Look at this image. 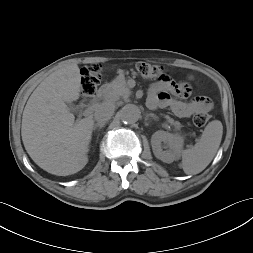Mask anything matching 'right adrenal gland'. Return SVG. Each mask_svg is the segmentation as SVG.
Segmentation results:
<instances>
[{
	"mask_svg": "<svg viewBox=\"0 0 253 253\" xmlns=\"http://www.w3.org/2000/svg\"><path fill=\"white\" fill-rule=\"evenodd\" d=\"M104 125H105V123H103V124H98L97 123V124L94 125L93 130L95 131L97 128L101 129V128L104 127Z\"/></svg>",
	"mask_w": 253,
	"mask_h": 253,
	"instance_id": "right-adrenal-gland-1",
	"label": "right adrenal gland"
}]
</instances>
